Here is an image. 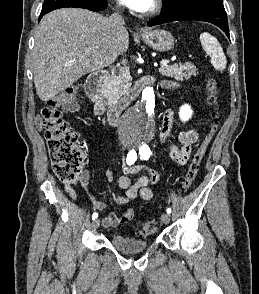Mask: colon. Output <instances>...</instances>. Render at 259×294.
<instances>
[{"mask_svg": "<svg viewBox=\"0 0 259 294\" xmlns=\"http://www.w3.org/2000/svg\"><path fill=\"white\" fill-rule=\"evenodd\" d=\"M207 89V101L212 108L208 130L198 145L187 171L179 181V193L187 192L194 182L208 146L220 124V114L217 108V83L214 79L208 82ZM77 91L75 86L64 89L50 99L42 111L45 138L53 162L54 173L61 182L72 185L76 184L80 178L83 153L78 146L77 133L62 117V109L74 100ZM158 229V219L151 217L139 225L138 235L146 237L154 234Z\"/></svg>", "mask_w": 259, "mask_h": 294, "instance_id": "5ec220e1", "label": "colon"}]
</instances>
